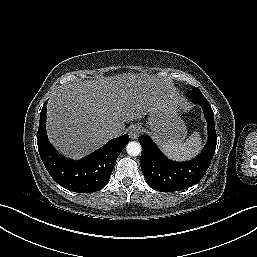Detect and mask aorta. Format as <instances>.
I'll list each match as a JSON object with an SVG mask.
<instances>
[{"instance_id": "1", "label": "aorta", "mask_w": 257, "mask_h": 257, "mask_svg": "<svg viewBox=\"0 0 257 257\" xmlns=\"http://www.w3.org/2000/svg\"><path fill=\"white\" fill-rule=\"evenodd\" d=\"M126 151L131 156H138L141 153V145L136 141H131L127 144Z\"/></svg>"}]
</instances>
